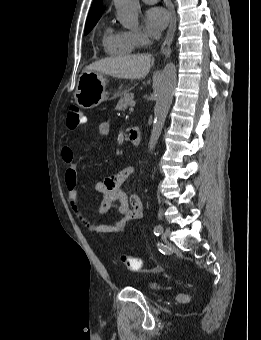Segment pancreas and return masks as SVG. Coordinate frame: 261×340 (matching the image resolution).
I'll use <instances>...</instances> for the list:
<instances>
[{
  "label": "pancreas",
  "mask_w": 261,
  "mask_h": 340,
  "mask_svg": "<svg viewBox=\"0 0 261 340\" xmlns=\"http://www.w3.org/2000/svg\"><path fill=\"white\" fill-rule=\"evenodd\" d=\"M133 98L134 95L132 93H129L128 90H125L122 93H120V100L116 106V110H125L131 103Z\"/></svg>",
  "instance_id": "obj_1"
}]
</instances>
